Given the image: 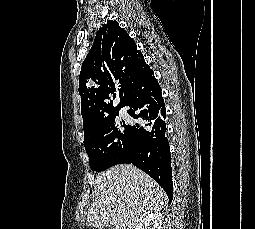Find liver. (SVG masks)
Segmentation results:
<instances>
[{
    "mask_svg": "<svg viewBox=\"0 0 255 229\" xmlns=\"http://www.w3.org/2000/svg\"><path fill=\"white\" fill-rule=\"evenodd\" d=\"M93 196L86 225L99 229H136L144 216L160 211L166 200L162 187L132 164L100 173Z\"/></svg>",
    "mask_w": 255,
    "mask_h": 229,
    "instance_id": "6515ba94",
    "label": "liver"
}]
</instances>
